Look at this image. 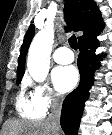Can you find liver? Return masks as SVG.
I'll use <instances>...</instances> for the list:
<instances>
[{"label":"liver","mask_w":112,"mask_h":135,"mask_svg":"<svg viewBox=\"0 0 112 135\" xmlns=\"http://www.w3.org/2000/svg\"><path fill=\"white\" fill-rule=\"evenodd\" d=\"M2 135H54L48 121L7 120Z\"/></svg>","instance_id":"obj_1"}]
</instances>
